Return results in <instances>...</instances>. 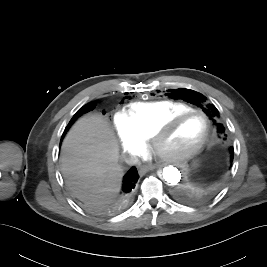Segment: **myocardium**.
<instances>
[{
	"label": "myocardium",
	"mask_w": 267,
	"mask_h": 267,
	"mask_svg": "<svg viewBox=\"0 0 267 267\" xmlns=\"http://www.w3.org/2000/svg\"><path fill=\"white\" fill-rule=\"evenodd\" d=\"M193 114L202 116L205 121V132L203 137L196 144H194L192 147L188 149L172 153H162L160 151V144L162 139L169 133V131L177 123H179L185 117ZM210 132H211V121L208 115L204 111L199 109L185 110L170 116L155 130V132L151 137V145L153 149L157 151L165 160L169 162H181L193 157L203 149V147L206 145L209 139Z\"/></svg>",
	"instance_id": "myocardium-1"
}]
</instances>
